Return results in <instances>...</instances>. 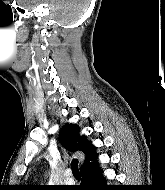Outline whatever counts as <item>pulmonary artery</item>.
<instances>
[{"instance_id":"e3ab8cb5","label":"pulmonary artery","mask_w":165,"mask_h":190,"mask_svg":"<svg viewBox=\"0 0 165 190\" xmlns=\"http://www.w3.org/2000/svg\"><path fill=\"white\" fill-rule=\"evenodd\" d=\"M65 175H66V177H65V183L71 184V183L74 182V180L72 178V172L70 170H66Z\"/></svg>"}]
</instances>
